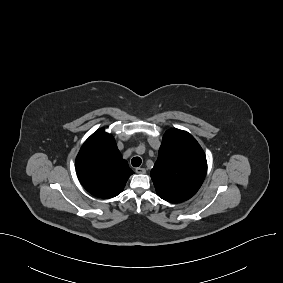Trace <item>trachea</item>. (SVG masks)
I'll use <instances>...</instances> for the list:
<instances>
[{"label": "trachea", "instance_id": "3493384b", "mask_svg": "<svg viewBox=\"0 0 283 283\" xmlns=\"http://www.w3.org/2000/svg\"><path fill=\"white\" fill-rule=\"evenodd\" d=\"M141 163H142V160H141L140 157H134V158H132V160H131V164H132V166H134V167H139V166L141 165Z\"/></svg>", "mask_w": 283, "mask_h": 283}]
</instances>
